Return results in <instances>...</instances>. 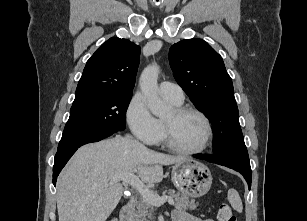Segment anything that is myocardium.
<instances>
[{
	"label": "myocardium",
	"instance_id": "f54148a6",
	"mask_svg": "<svg viewBox=\"0 0 307 221\" xmlns=\"http://www.w3.org/2000/svg\"><path fill=\"white\" fill-rule=\"evenodd\" d=\"M176 116H183L186 114H195L199 116L206 127V136L203 144L196 149H183L175 145L172 139V129L171 126L166 122L162 121L163 125V141L168 149L171 151L182 154V155H197L204 152L211 144L213 139V125L210 118L200 109L191 106H177L173 109Z\"/></svg>",
	"mask_w": 307,
	"mask_h": 221
}]
</instances>
